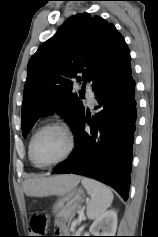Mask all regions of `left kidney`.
Here are the masks:
<instances>
[{
  "label": "left kidney",
  "instance_id": "5707ae66",
  "mask_svg": "<svg viewBox=\"0 0 158 237\" xmlns=\"http://www.w3.org/2000/svg\"><path fill=\"white\" fill-rule=\"evenodd\" d=\"M117 229V213L109 210L103 213L90 226L92 236H115Z\"/></svg>",
  "mask_w": 158,
  "mask_h": 237
}]
</instances>
